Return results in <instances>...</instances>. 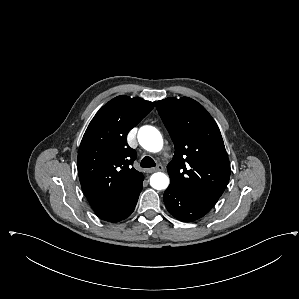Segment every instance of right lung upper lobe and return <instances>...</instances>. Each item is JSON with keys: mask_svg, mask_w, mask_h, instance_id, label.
<instances>
[{"mask_svg": "<svg viewBox=\"0 0 299 299\" xmlns=\"http://www.w3.org/2000/svg\"><path fill=\"white\" fill-rule=\"evenodd\" d=\"M154 105L142 98L118 96L90 122L78 152V175L98 216L112 209L143 179L142 173L132 167L137 155L126 138Z\"/></svg>", "mask_w": 299, "mask_h": 299, "instance_id": "1", "label": "right lung upper lobe"}]
</instances>
